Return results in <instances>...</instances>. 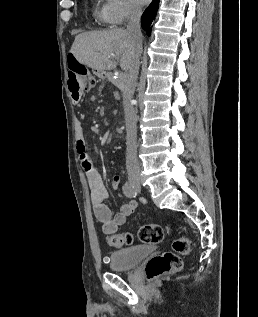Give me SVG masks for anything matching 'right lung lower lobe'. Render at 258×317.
I'll list each match as a JSON object with an SVG mask.
<instances>
[{
	"instance_id": "98d812e1",
	"label": "right lung lower lobe",
	"mask_w": 258,
	"mask_h": 317,
	"mask_svg": "<svg viewBox=\"0 0 258 317\" xmlns=\"http://www.w3.org/2000/svg\"><path fill=\"white\" fill-rule=\"evenodd\" d=\"M159 0H153L149 7L144 11L141 17L142 28L146 31L147 35L151 34L152 22L157 14Z\"/></svg>"
}]
</instances>
